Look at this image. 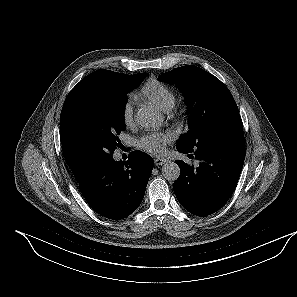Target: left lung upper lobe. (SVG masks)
<instances>
[{
	"instance_id": "5c2ea615",
	"label": "left lung upper lobe",
	"mask_w": 297,
	"mask_h": 297,
	"mask_svg": "<svg viewBox=\"0 0 297 297\" xmlns=\"http://www.w3.org/2000/svg\"><path fill=\"white\" fill-rule=\"evenodd\" d=\"M158 79L176 85L188 107L187 130L179 137L177 147L192 151L229 132L242 130L232 94L214 75L189 65L161 74Z\"/></svg>"
}]
</instances>
